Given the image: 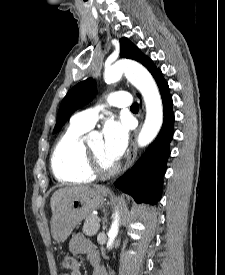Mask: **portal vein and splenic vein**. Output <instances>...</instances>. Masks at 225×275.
<instances>
[{
  "label": "portal vein and splenic vein",
  "mask_w": 225,
  "mask_h": 275,
  "mask_svg": "<svg viewBox=\"0 0 225 275\" xmlns=\"http://www.w3.org/2000/svg\"><path fill=\"white\" fill-rule=\"evenodd\" d=\"M96 220H97V222H100V218L99 217H97Z\"/></svg>",
  "instance_id": "18ae733b"
}]
</instances>
